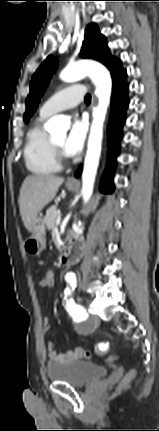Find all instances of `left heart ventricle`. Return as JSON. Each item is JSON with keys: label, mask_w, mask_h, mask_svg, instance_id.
<instances>
[{"label": "left heart ventricle", "mask_w": 159, "mask_h": 431, "mask_svg": "<svg viewBox=\"0 0 159 431\" xmlns=\"http://www.w3.org/2000/svg\"><path fill=\"white\" fill-rule=\"evenodd\" d=\"M53 141L56 143V144H58L59 146H63V143H64V141H65V135L64 134H62V135H59V136H57V137H54L53 138Z\"/></svg>", "instance_id": "b2bd125f"}]
</instances>
